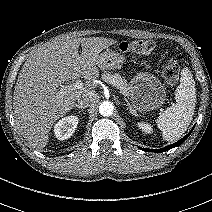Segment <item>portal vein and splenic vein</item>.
I'll return each instance as SVG.
<instances>
[{"label":"portal vein and splenic vein","instance_id":"18ae733b","mask_svg":"<svg viewBox=\"0 0 212 212\" xmlns=\"http://www.w3.org/2000/svg\"><path fill=\"white\" fill-rule=\"evenodd\" d=\"M84 84L80 80H76L75 83L70 84L68 86H63L62 90H71V89H82Z\"/></svg>","mask_w":212,"mask_h":212}]
</instances>
